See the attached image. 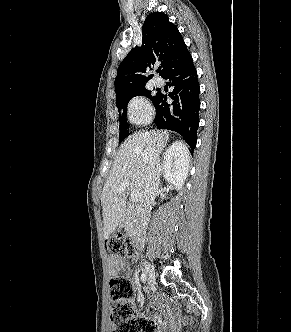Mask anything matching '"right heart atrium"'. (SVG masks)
Instances as JSON below:
<instances>
[{
    "instance_id": "1",
    "label": "right heart atrium",
    "mask_w": 291,
    "mask_h": 332,
    "mask_svg": "<svg viewBox=\"0 0 291 332\" xmlns=\"http://www.w3.org/2000/svg\"><path fill=\"white\" fill-rule=\"evenodd\" d=\"M152 117V108L142 97H134L128 104V118L135 124H145Z\"/></svg>"
}]
</instances>
